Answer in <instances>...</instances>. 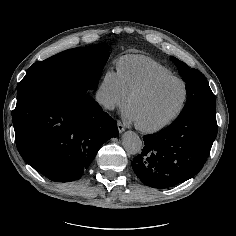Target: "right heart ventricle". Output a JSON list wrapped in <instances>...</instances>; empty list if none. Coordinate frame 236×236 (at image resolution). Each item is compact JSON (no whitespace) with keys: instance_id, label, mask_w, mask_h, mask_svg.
<instances>
[{"instance_id":"right-heart-ventricle-1","label":"right heart ventricle","mask_w":236,"mask_h":236,"mask_svg":"<svg viewBox=\"0 0 236 236\" xmlns=\"http://www.w3.org/2000/svg\"><path fill=\"white\" fill-rule=\"evenodd\" d=\"M117 72L129 96L151 80L167 75H174L173 71L146 55H124L116 61Z\"/></svg>"}]
</instances>
